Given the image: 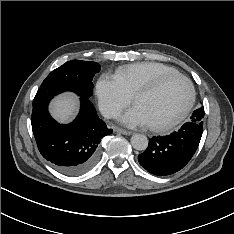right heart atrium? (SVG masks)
I'll return each instance as SVG.
<instances>
[{"label":"right heart atrium","mask_w":234,"mask_h":234,"mask_svg":"<svg viewBox=\"0 0 234 234\" xmlns=\"http://www.w3.org/2000/svg\"><path fill=\"white\" fill-rule=\"evenodd\" d=\"M96 94L101 111L108 117L116 116L132 100L117 76L109 73L99 77Z\"/></svg>","instance_id":"obj_1"}]
</instances>
